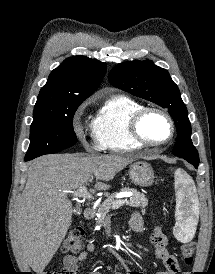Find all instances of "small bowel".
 I'll use <instances>...</instances> for the list:
<instances>
[{"label":"small bowel","instance_id":"c3829d8e","mask_svg":"<svg viewBox=\"0 0 215 274\" xmlns=\"http://www.w3.org/2000/svg\"><path fill=\"white\" fill-rule=\"evenodd\" d=\"M144 221L139 213H134L130 219V227L133 231L138 232L143 229ZM151 244L153 245L155 255L158 259L162 260L165 266L164 270L158 271L155 274H177L179 269V264L177 258L171 253L168 240L166 235L162 232L159 226H156L150 238ZM96 250V245L93 242H89L86 245L84 251L78 255H66L63 259L64 268L68 274H77L79 266ZM89 274H101L100 272H90ZM115 274H123L121 272H116ZM131 274H138L132 272ZM182 274H189L188 272H183Z\"/></svg>","mask_w":215,"mask_h":274}]
</instances>
